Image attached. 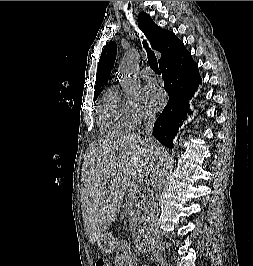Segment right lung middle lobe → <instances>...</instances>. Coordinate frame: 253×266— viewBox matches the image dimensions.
Masks as SVG:
<instances>
[{"instance_id": "1", "label": "right lung middle lobe", "mask_w": 253, "mask_h": 266, "mask_svg": "<svg viewBox=\"0 0 253 266\" xmlns=\"http://www.w3.org/2000/svg\"><path fill=\"white\" fill-rule=\"evenodd\" d=\"M97 97H98V96H95V97H94V100H96Z\"/></svg>"}]
</instances>
